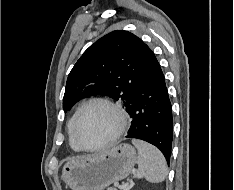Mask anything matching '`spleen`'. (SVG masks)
Listing matches in <instances>:
<instances>
[{"label":"spleen","mask_w":234,"mask_h":190,"mask_svg":"<svg viewBox=\"0 0 234 190\" xmlns=\"http://www.w3.org/2000/svg\"><path fill=\"white\" fill-rule=\"evenodd\" d=\"M138 150L137 178H145L152 183L164 181L167 176V164L163 154L153 145L138 139H132Z\"/></svg>","instance_id":"spleen-1"}]
</instances>
